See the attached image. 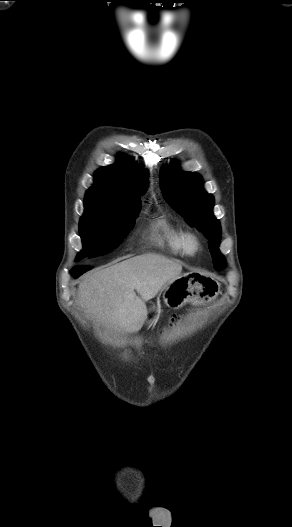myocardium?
Wrapping results in <instances>:
<instances>
[{"instance_id":"myocardium-1","label":"myocardium","mask_w":292,"mask_h":527,"mask_svg":"<svg viewBox=\"0 0 292 527\" xmlns=\"http://www.w3.org/2000/svg\"><path fill=\"white\" fill-rule=\"evenodd\" d=\"M201 247L200 238L193 232H185L183 238V248L187 255L193 256L198 253Z\"/></svg>"}]
</instances>
